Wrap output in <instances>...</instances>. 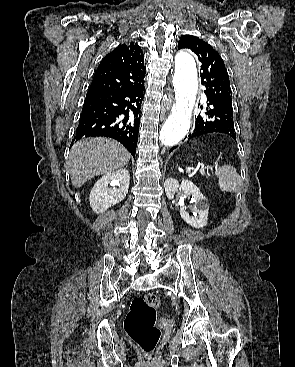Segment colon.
Returning <instances> with one entry per match:
<instances>
[{
  "mask_svg": "<svg viewBox=\"0 0 295 367\" xmlns=\"http://www.w3.org/2000/svg\"><path fill=\"white\" fill-rule=\"evenodd\" d=\"M160 299L154 293L134 298L126 315L124 328L127 335L150 358L159 343L161 332L156 325Z\"/></svg>",
  "mask_w": 295,
  "mask_h": 367,
  "instance_id": "5ec220e1",
  "label": "colon"
}]
</instances>
